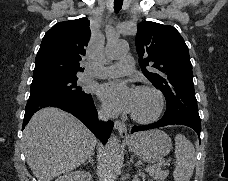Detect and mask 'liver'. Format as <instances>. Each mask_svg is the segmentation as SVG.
Listing matches in <instances>:
<instances>
[{"label": "liver", "instance_id": "6515ba94", "mask_svg": "<svg viewBox=\"0 0 228 181\" xmlns=\"http://www.w3.org/2000/svg\"><path fill=\"white\" fill-rule=\"evenodd\" d=\"M23 133L27 165L37 181L74 171L94 155L98 143L76 117L54 107L34 113Z\"/></svg>", "mask_w": 228, "mask_h": 181}]
</instances>
